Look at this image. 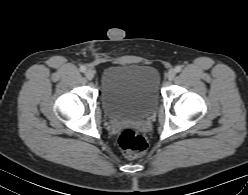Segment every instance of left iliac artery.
Listing matches in <instances>:
<instances>
[{"label": "left iliac artery", "mask_w": 248, "mask_h": 195, "mask_svg": "<svg viewBox=\"0 0 248 195\" xmlns=\"http://www.w3.org/2000/svg\"><path fill=\"white\" fill-rule=\"evenodd\" d=\"M175 71H176V72H180V71H181V67H180V66H176V67H175Z\"/></svg>", "instance_id": "left-iliac-artery-1"}]
</instances>
